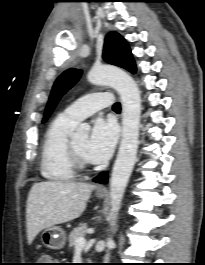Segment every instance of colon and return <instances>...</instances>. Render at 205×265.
Listing matches in <instances>:
<instances>
[{
  "instance_id": "obj_1",
  "label": "colon",
  "mask_w": 205,
  "mask_h": 265,
  "mask_svg": "<svg viewBox=\"0 0 205 265\" xmlns=\"http://www.w3.org/2000/svg\"><path fill=\"white\" fill-rule=\"evenodd\" d=\"M40 260H42L43 262H48L51 261V257H49L48 255H42L39 258ZM39 264H43V265H47V264H51V263H39Z\"/></svg>"
}]
</instances>
